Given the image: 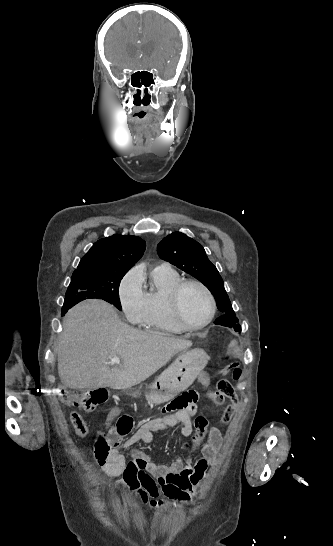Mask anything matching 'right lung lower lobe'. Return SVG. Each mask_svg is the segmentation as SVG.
<instances>
[{
  "label": "right lung lower lobe",
  "mask_w": 333,
  "mask_h": 546,
  "mask_svg": "<svg viewBox=\"0 0 333 546\" xmlns=\"http://www.w3.org/2000/svg\"><path fill=\"white\" fill-rule=\"evenodd\" d=\"M67 311H68V310H64V311H62V315H64V314H65V313H66Z\"/></svg>",
  "instance_id": "obj_1"
}]
</instances>
